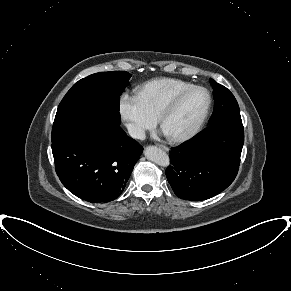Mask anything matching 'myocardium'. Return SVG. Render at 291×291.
<instances>
[{
  "instance_id": "f54148a6",
  "label": "myocardium",
  "mask_w": 291,
  "mask_h": 291,
  "mask_svg": "<svg viewBox=\"0 0 291 291\" xmlns=\"http://www.w3.org/2000/svg\"><path fill=\"white\" fill-rule=\"evenodd\" d=\"M195 90H202L207 94V105L201 115V117L199 118V120L197 121V123L195 124V126L188 131L187 133L183 134V135H179V136H167L168 140L173 142V143H182L185 142L191 138H193L194 136H196L201 129L203 128L205 122L207 121V118L209 116L211 107H212V95L211 92L204 86H200V85H192L180 92H178L174 97L171 98V100L164 106V108L161 110V112L159 113L157 120H158V125L160 127V129L162 130L163 128V124L165 122V120L167 119V117L178 107V105L181 103V101L192 91Z\"/></svg>"
}]
</instances>
